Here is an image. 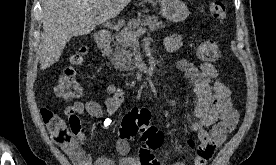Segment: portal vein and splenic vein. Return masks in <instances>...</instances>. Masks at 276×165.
<instances>
[{
    "mask_svg": "<svg viewBox=\"0 0 276 165\" xmlns=\"http://www.w3.org/2000/svg\"><path fill=\"white\" fill-rule=\"evenodd\" d=\"M146 31L147 30L145 28H140L136 32L129 34L128 37L133 41L143 35Z\"/></svg>",
    "mask_w": 276,
    "mask_h": 165,
    "instance_id": "1",
    "label": "portal vein and splenic vein"
}]
</instances>
